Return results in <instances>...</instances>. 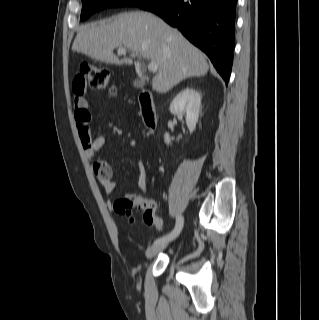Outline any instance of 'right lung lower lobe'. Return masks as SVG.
Instances as JSON below:
<instances>
[{
    "label": "right lung lower lobe",
    "mask_w": 319,
    "mask_h": 320,
    "mask_svg": "<svg viewBox=\"0 0 319 320\" xmlns=\"http://www.w3.org/2000/svg\"><path fill=\"white\" fill-rule=\"evenodd\" d=\"M237 0H152L140 5L178 28L211 59L228 83L234 49Z\"/></svg>",
    "instance_id": "obj_1"
}]
</instances>
